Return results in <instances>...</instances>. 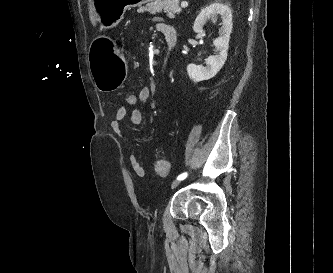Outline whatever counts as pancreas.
<instances>
[{
    "label": "pancreas",
    "mask_w": 333,
    "mask_h": 273,
    "mask_svg": "<svg viewBox=\"0 0 333 273\" xmlns=\"http://www.w3.org/2000/svg\"><path fill=\"white\" fill-rule=\"evenodd\" d=\"M146 11L150 13L164 12L169 18L173 19L176 14L181 12V8L179 7V0H155L139 9L141 13Z\"/></svg>",
    "instance_id": "cf45deb5"
}]
</instances>
